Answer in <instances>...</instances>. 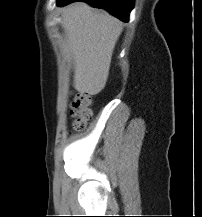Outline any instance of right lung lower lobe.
<instances>
[{
	"instance_id": "1",
	"label": "right lung lower lobe",
	"mask_w": 202,
	"mask_h": 217,
	"mask_svg": "<svg viewBox=\"0 0 202 217\" xmlns=\"http://www.w3.org/2000/svg\"><path fill=\"white\" fill-rule=\"evenodd\" d=\"M76 1L87 2L96 8L105 9L124 22H128L134 3V0H57L56 4L64 6Z\"/></svg>"
}]
</instances>
